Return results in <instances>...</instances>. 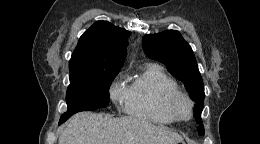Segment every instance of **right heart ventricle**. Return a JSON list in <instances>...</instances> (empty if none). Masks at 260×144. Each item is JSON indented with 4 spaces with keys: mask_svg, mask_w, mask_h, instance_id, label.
I'll list each match as a JSON object with an SVG mask.
<instances>
[{
    "mask_svg": "<svg viewBox=\"0 0 260 144\" xmlns=\"http://www.w3.org/2000/svg\"><path fill=\"white\" fill-rule=\"evenodd\" d=\"M178 90L177 83L156 64H146L133 76L126 89L125 111L131 117L159 125L174 120L161 107L163 96Z\"/></svg>",
    "mask_w": 260,
    "mask_h": 144,
    "instance_id": "1",
    "label": "right heart ventricle"
}]
</instances>
